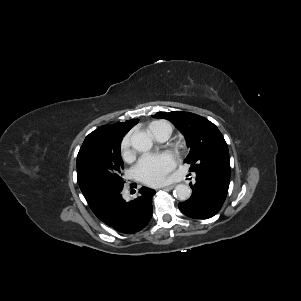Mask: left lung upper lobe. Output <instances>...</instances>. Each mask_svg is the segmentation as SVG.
Here are the masks:
<instances>
[{
  "instance_id": "5c2ea615",
  "label": "left lung upper lobe",
  "mask_w": 301,
  "mask_h": 301,
  "mask_svg": "<svg viewBox=\"0 0 301 301\" xmlns=\"http://www.w3.org/2000/svg\"><path fill=\"white\" fill-rule=\"evenodd\" d=\"M154 118L171 121L184 134L189 154L184 162L190 172H210L230 178L227 143L218 128L208 119L189 112H158Z\"/></svg>"
}]
</instances>
